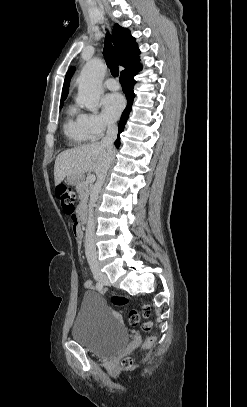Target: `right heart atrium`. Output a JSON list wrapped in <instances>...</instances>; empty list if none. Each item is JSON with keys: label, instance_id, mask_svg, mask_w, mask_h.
Here are the masks:
<instances>
[{"label": "right heart atrium", "instance_id": "1", "mask_svg": "<svg viewBox=\"0 0 247 407\" xmlns=\"http://www.w3.org/2000/svg\"><path fill=\"white\" fill-rule=\"evenodd\" d=\"M85 125L92 140L99 139L113 123L103 114H84Z\"/></svg>", "mask_w": 247, "mask_h": 407}]
</instances>
